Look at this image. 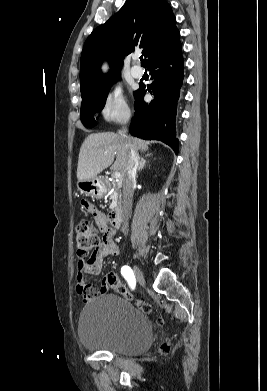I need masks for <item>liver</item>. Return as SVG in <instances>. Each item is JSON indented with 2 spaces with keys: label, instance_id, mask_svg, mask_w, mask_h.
<instances>
[{
  "label": "liver",
  "instance_id": "6515ba94",
  "mask_svg": "<svg viewBox=\"0 0 267 391\" xmlns=\"http://www.w3.org/2000/svg\"><path fill=\"white\" fill-rule=\"evenodd\" d=\"M126 143L132 144L137 151L146 152L148 150L149 143L135 137L122 138L113 132L88 135L79 152L78 181L94 178L111 165L112 169L119 171L124 176L128 159Z\"/></svg>",
  "mask_w": 267,
  "mask_h": 391
}]
</instances>
